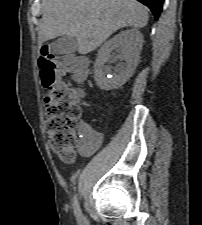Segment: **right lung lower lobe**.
Masks as SVG:
<instances>
[{
  "mask_svg": "<svg viewBox=\"0 0 202 225\" xmlns=\"http://www.w3.org/2000/svg\"><path fill=\"white\" fill-rule=\"evenodd\" d=\"M138 1L149 7L153 15L155 16V19H158L162 11L164 0H138Z\"/></svg>",
  "mask_w": 202,
  "mask_h": 225,
  "instance_id": "98d812e1",
  "label": "right lung lower lobe"
}]
</instances>
